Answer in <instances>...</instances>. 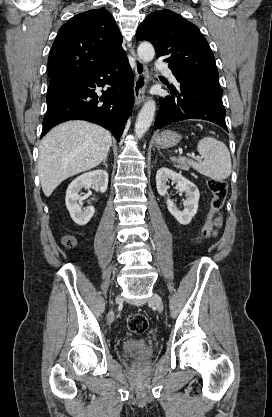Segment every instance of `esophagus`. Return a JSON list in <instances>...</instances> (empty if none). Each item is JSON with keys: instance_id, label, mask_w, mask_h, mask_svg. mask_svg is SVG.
Here are the masks:
<instances>
[{"instance_id": "obj_1", "label": "esophagus", "mask_w": 272, "mask_h": 417, "mask_svg": "<svg viewBox=\"0 0 272 417\" xmlns=\"http://www.w3.org/2000/svg\"><path fill=\"white\" fill-rule=\"evenodd\" d=\"M135 62L134 98L135 106L141 105L145 98V91L149 82V71L146 65L136 56L134 49L131 50Z\"/></svg>"}]
</instances>
